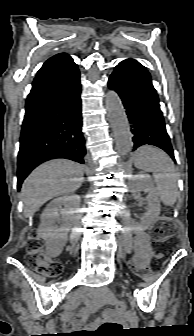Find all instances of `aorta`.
I'll return each mask as SVG.
<instances>
[{
    "label": "aorta",
    "instance_id": "1",
    "mask_svg": "<svg viewBox=\"0 0 194 336\" xmlns=\"http://www.w3.org/2000/svg\"><path fill=\"white\" fill-rule=\"evenodd\" d=\"M105 106L112 125L116 150L120 155H126L133 146L132 135L125 109L115 91L109 90L107 92Z\"/></svg>",
    "mask_w": 194,
    "mask_h": 336
}]
</instances>
